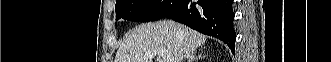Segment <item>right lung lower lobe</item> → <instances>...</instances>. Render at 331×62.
<instances>
[{"instance_id": "98d812e1", "label": "right lung lower lobe", "mask_w": 331, "mask_h": 62, "mask_svg": "<svg viewBox=\"0 0 331 62\" xmlns=\"http://www.w3.org/2000/svg\"><path fill=\"white\" fill-rule=\"evenodd\" d=\"M233 0H180L164 17L224 41L235 53Z\"/></svg>"}]
</instances>
